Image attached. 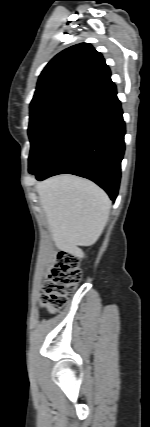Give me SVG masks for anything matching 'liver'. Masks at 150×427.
<instances>
[{"label": "liver", "mask_w": 150, "mask_h": 427, "mask_svg": "<svg viewBox=\"0 0 150 427\" xmlns=\"http://www.w3.org/2000/svg\"><path fill=\"white\" fill-rule=\"evenodd\" d=\"M56 247L77 254L78 246L94 244L108 221L111 200L93 182L72 175H60L37 183Z\"/></svg>", "instance_id": "6515ba94"}]
</instances>
